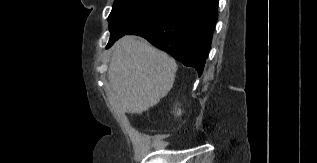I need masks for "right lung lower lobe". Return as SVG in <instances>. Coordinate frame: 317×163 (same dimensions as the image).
I'll return each instance as SVG.
<instances>
[{
  "mask_svg": "<svg viewBox=\"0 0 317 163\" xmlns=\"http://www.w3.org/2000/svg\"><path fill=\"white\" fill-rule=\"evenodd\" d=\"M218 1L173 0L157 17L127 34L144 37L185 66L194 67L200 76L218 17Z\"/></svg>",
  "mask_w": 317,
  "mask_h": 163,
  "instance_id": "right-lung-lower-lobe-1",
  "label": "right lung lower lobe"
}]
</instances>
